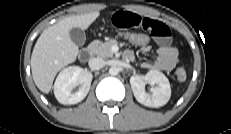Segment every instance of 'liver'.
I'll list each match as a JSON object with an SVG mask.
<instances>
[{"label": "liver", "instance_id": "1", "mask_svg": "<svg viewBox=\"0 0 231 134\" xmlns=\"http://www.w3.org/2000/svg\"><path fill=\"white\" fill-rule=\"evenodd\" d=\"M98 11L68 16L46 28L38 38L31 56V71L38 89L48 94L56 74L76 60L79 49L71 40L72 28L87 29L98 17Z\"/></svg>", "mask_w": 231, "mask_h": 134}]
</instances>
